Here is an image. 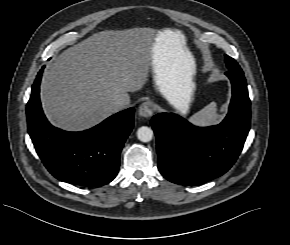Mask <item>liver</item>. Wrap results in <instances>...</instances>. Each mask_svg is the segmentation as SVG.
Masks as SVG:
<instances>
[{
	"mask_svg": "<svg viewBox=\"0 0 290 245\" xmlns=\"http://www.w3.org/2000/svg\"><path fill=\"white\" fill-rule=\"evenodd\" d=\"M157 41V44H156ZM180 31L151 38L138 29L106 30L63 51L45 72L41 102L48 119L66 130L90 128L117 112L118 98L140 90L153 65V48L166 71L175 101L178 86L191 83L195 61ZM129 105V104H128Z\"/></svg>",
	"mask_w": 290,
	"mask_h": 245,
	"instance_id": "1",
	"label": "liver"
}]
</instances>
